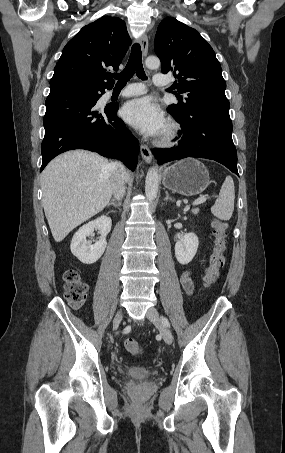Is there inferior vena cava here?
Listing matches in <instances>:
<instances>
[{"instance_id":"602c4592","label":"inferior vena cava","mask_w":285,"mask_h":453,"mask_svg":"<svg viewBox=\"0 0 285 453\" xmlns=\"http://www.w3.org/2000/svg\"><path fill=\"white\" fill-rule=\"evenodd\" d=\"M111 166L115 170L113 195L117 200H121L125 194V182L127 179L126 169L125 166L119 161L112 162Z\"/></svg>"}]
</instances>
